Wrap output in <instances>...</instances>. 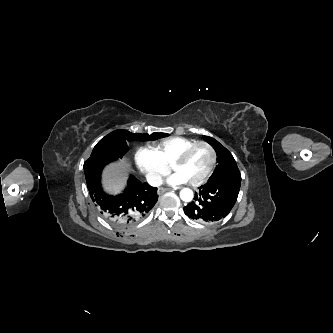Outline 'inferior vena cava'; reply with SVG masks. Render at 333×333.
<instances>
[{
    "mask_svg": "<svg viewBox=\"0 0 333 333\" xmlns=\"http://www.w3.org/2000/svg\"><path fill=\"white\" fill-rule=\"evenodd\" d=\"M147 182L153 187H159L163 183L161 175L157 173H151L146 176Z\"/></svg>",
    "mask_w": 333,
    "mask_h": 333,
    "instance_id": "inferior-vena-cava-1",
    "label": "inferior vena cava"
}]
</instances>
